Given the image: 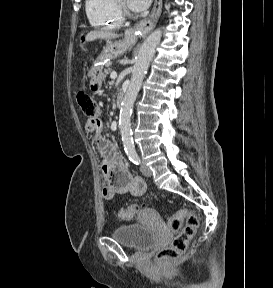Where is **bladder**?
<instances>
[{"label": "bladder", "mask_w": 273, "mask_h": 288, "mask_svg": "<svg viewBox=\"0 0 273 288\" xmlns=\"http://www.w3.org/2000/svg\"><path fill=\"white\" fill-rule=\"evenodd\" d=\"M112 237L122 245L138 251L149 250L158 239L154 230L139 224L120 226L113 231Z\"/></svg>", "instance_id": "bladder-1"}]
</instances>
